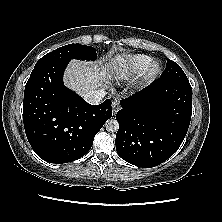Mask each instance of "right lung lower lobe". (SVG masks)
<instances>
[{
  "instance_id": "98d812e1",
  "label": "right lung lower lobe",
  "mask_w": 222,
  "mask_h": 222,
  "mask_svg": "<svg viewBox=\"0 0 222 222\" xmlns=\"http://www.w3.org/2000/svg\"><path fill=\"white\" fill-rule=\"evenodd\" d=\"M69 61L34 67L25 86L23 122L36 154L50 163H68L91 148L95 135L112 117L111 100L90 105L63 85Z\"/></svg>"
}]
</instances>
